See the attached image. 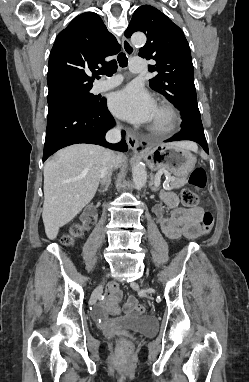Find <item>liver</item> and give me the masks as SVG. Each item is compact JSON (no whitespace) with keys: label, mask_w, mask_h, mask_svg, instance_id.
Returning <instances> with one entry per match:
<instances>
[{"label":"liver","mask_w":249,"mask_h":382,"mask_svg":"<svg viewBox=\"0 0 249 382\" xmlns=\"http://www.w3.org/2000/svg\"><path fill=\"white\" fill-rule=\"evenodd\" d=\"M197 151L191 142H178ZM104 148L75 144L59 150L44 165V205L42 219L47 237L54 240L66 225L93 199L106 164ZM124 161L116 156V165Z\"/></svg>","instance_id":"obj_1"}]
</instances>
